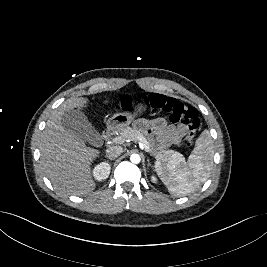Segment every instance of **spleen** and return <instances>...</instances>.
I'll return each mask as SVG.
<instances>
[{
	"instance_id": "3e777b00",
	"label": "spleen",
	"mask_w": 267,
	"mask_h": 267,
	"mask_svg": "<svg viewBox=\"0 0 267 267\" xmlns=\"http://www.w3.org/2000/svg\"><path fill=\"white\" fill-rule=\"evenodd\" d=\"M213 153V140L205 129L196 140L187 162L176 153L169 159L158 160L155 170L172 195L185 196L196 191L208 179Z\"/></svg>"
}]
</instances>
